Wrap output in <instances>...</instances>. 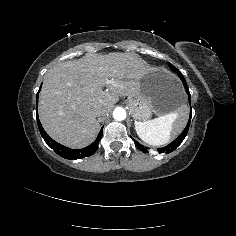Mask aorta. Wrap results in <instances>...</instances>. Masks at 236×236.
Segmentation results:
<instances>
[{"label":"aorta","instance_id":"762f6f07","mask_svg":"<svg viewBox=\"0 0 236 236\" xmlns=\"http://www.w3.org/2000/svg\"><path fill=\"white\" fill-rule=\"evenodd\" d=\"M113 117L117 121H122L126 118V112L123 108L118 107L114 110Z\"/></svg>","mask_w":236,"mask_h":236}]
</instances>
